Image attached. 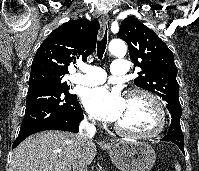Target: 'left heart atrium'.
<instances>
[{
	"label": "left heart atrium",
	"mask_w": 199,
	"mask_h": 171,
	"mask_svg": "<svg viewBox=\"0 0 199 171\" xmlns=\"http://www.w3.org/2000/svg\"><path fill=\"white\" fill-rule=\"evenodd\" d=\"M82 102L91 115L107 122H117L125 108V98L120 90L108 86L85 90Z\"/></svg>",
	"instance_id": "39dd6f15"
}]
</instances>
